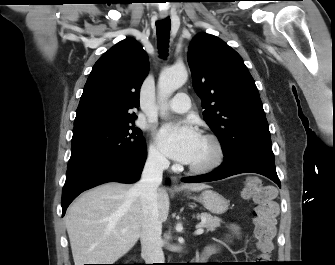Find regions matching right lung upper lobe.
I'll return each mask as SVG.
<instances>
[{
    "mask_svg": "<svg viewBox=\"0 0 335 265\" xmlns=\"http://www.w3.org/2000/svg\"><path fill=\"white\" fill-rule=\"evenodd\" d=\"M148 59L141 45L125 39L95 63L76 111L74 127L135 120L139 90L148 74Z\"/></svg>",
    "mask_w": 335,
    "mask_h": 265,
    "instance_id": "cb5924a9",
    "label": "right lung upper lobe"
}]
</instances>
